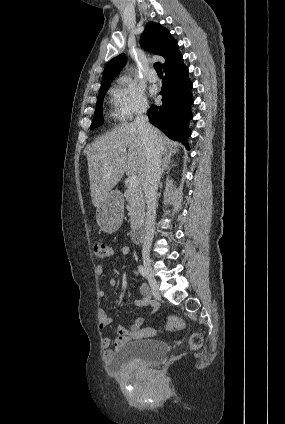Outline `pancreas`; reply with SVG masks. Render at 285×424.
<instances>
[{"label": "pancreas", "instance_id": "obj_1", "mask_svg": "<svg viewBox=\"0 0 285 424\" xmlns=\"http://www.w3.org/2000/svg\"><path fill=\"white\" fill-rule=\"evenodd\" d=\"M127 201V210L130 215L131 227L136 228L144 218L145 203L143 193L140 188H131L127 186L124 192Z\"/></svg>", "mask_w": 285, "mask_h": 424}]
</instances>
